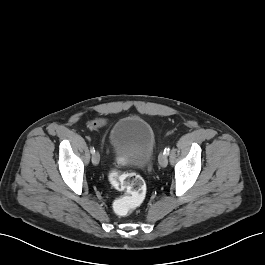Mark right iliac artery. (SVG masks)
I'll use <instances>...</instances> for the list:
<instances>
[{
	"instance_id": "1",
	"label": "right iliac artery",
	"mask_w": 265,
	"mask_h": 265,
	"mask_svg": "<svg viewBox=\"0 0 265 265\" xmlns=\"http://www.w3.org/2000/svg\"><path fill=\"white\" fill-rule=\"evenodd\" d=\"M90 152H91L92 154L95 153V149H94V147H91Z\"/></svg>"
}]
</instances>
